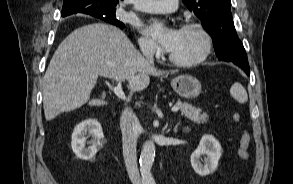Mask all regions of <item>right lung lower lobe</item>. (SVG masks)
<instances>
[{"mask_svg":"<svg viewBox=\"0 0 293 184\" xmlns=\"http://www.w3.org/2000/svg\"><path fill=\"white\" fill-rule=\"evenodd\" d=\"M102 20L107 21V22H109L111 24H114V25H116V26H118L120 28H123L124 27V24L121 23V22H119V21H112V20H107V19H102Z\"/></svg>","mask_w":293,"mask_h":184,"instance_id":"right-lung-lower-lobe-1","label":"right lung lower lobe"}]
</instances>
